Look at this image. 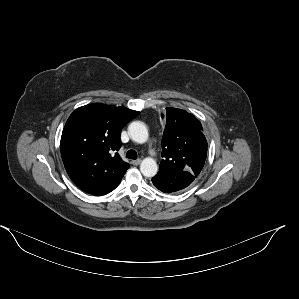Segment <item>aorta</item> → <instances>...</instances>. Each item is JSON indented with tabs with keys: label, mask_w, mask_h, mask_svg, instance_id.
Wrapping results in <instances>:
<instances>
[{
	"label": "aorta",
	"mask_w": 299,
	"mask_h": 299,
	"mask_svg": "<svg viewBox=\"0 0 299 299\" xmlns=\"http://www.w3.org/2000/svg\"><path fill=\"white\" fill-rule=\"evenodd\" d=\"M131 139L137 143H145L148 140V130L141 121H134L128 127ZM140 171L145 177H153L157 174L158 166L153 158L147 157L140 164Z\"/></svg>",
	"instance_id": "aorta-1"
}]
</instances>
